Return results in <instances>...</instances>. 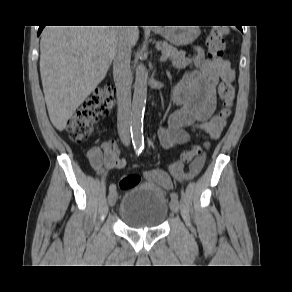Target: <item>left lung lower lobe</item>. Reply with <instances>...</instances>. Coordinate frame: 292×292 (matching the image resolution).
<instances>
[{
	"label": "left lung lower lobe",
	"mask_w": 292,
	"mask_h": 292,
	"mask_svg": "<svg viewBox=\"0 0 292 292\" xmlns=\"http://www.w3.org/2000/svg\"><path fill=\"white\" fill-rule=\"evenodd\" d=\"M241 31H242V29H241V27L240 26H237Z\"/></svg>",
	"instance_id": "left-lung-lower-lobe-1"
}]
</instances>
